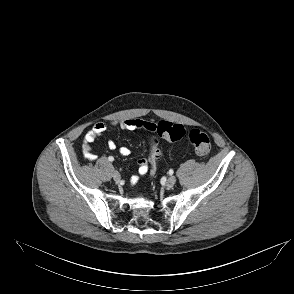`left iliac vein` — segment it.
Segmentation results:
<instances>
[{"mask_svg": "<svg viewBox=\"0 0 294 294\" xmlns=\"http://www.w3.org/2000/svg\"><path fill=\"white\" fill-rule=\"evenodd\" d=\"M176 183V177L171 176L167 179L166 184L169 187H172Z\"/></svg>", "mask_w": 294, "mask_h": 294, "instance_id": "1", "label": "left iliac vein"}]
</instances>
